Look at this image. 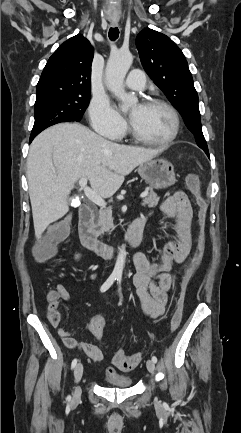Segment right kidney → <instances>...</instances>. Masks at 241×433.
<instances>
[{"instance_id":"ca27d5eb","label":"right kidney","mask_w":241,"mask_h":433,"mask_svg":"<svg viewBox=\"0 0 241 433\" xmlns=\"http://www.w3.org/2000/svg\"><path fill=\"white\" fill-rule=\"evenodd\" d=\"M75 258L78 259V258H79V254H77V255L75 256Z\"/></svg>"}]
</instances>
